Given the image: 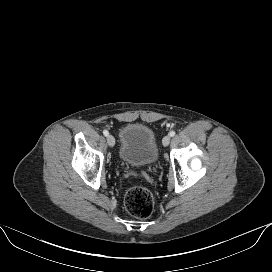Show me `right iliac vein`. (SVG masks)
Listing matches in <instances>:
<instances>
[{"instance_id":"1","label":"right iliac vein","mask_w":272,"mask_h":272,"mask_svg":"<svg viewBox=\"0 0 272 272\" xmlns=\"http://www.w3.org/2000/svg\"><path fill=\"white\" fill-rule=\"evenodd\" d=\"M107 143L110 147H113L115 145V138L112 135H108Z\"/></svg>"}]
</instances>
